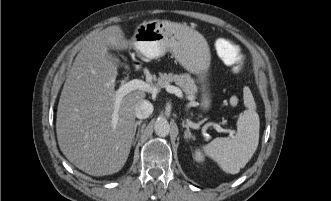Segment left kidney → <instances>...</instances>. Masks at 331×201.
<instances>
[{
    "label": "left kidney",
    "mask_w": 331,
    "mask_h": 201,
    "mask_svg": "<svg viewBox=\"0 0 331 201\" xmlns=\"http://www.w3.org/2000/svg\"><path fill=\"white\" fill-rule=\"evenodd\" d=\"M194 155H195V160L197 162H203L204 161V156L199 150H196Z\"/></svg>",
    "instance_id": "5707ae66"
}]
</instances>
